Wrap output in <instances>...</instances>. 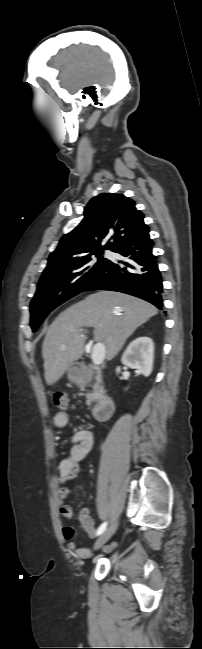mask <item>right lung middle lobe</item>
<instances>
[{
    "mask_svg": "<svg viewBox=\"0 0 202 649\" xmlns=\"http://www.w3.org/2000/svg\"><path fill=\"white\" fill-rule=\"evenodd\" d=\"M92 255H95L97 259ZM102 255L103 251L87 253L74 260L68 271L40 278L37 291L30 304V326L33 332L54 308L85 291V288L109 261Z\"/></svg>",
    "mask_w": 202,
    "mask_h": 649,
    "instance_id": "1",
    "label": "right lung middle lobe"
}]
</instances>
